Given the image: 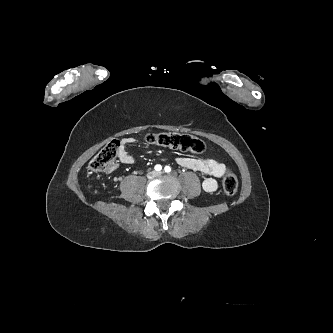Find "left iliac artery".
<instances>
[{
	"label": "left iliac artery",
	"instance_id": "left-iliac-artery-1",
	"mask_svg": "<svg viewBox=\"0 0 333 333\" xmlns=\"http://www.w3.org/2000/svg\"><path fill=\"white\" fill-rule=\"evenodd\" d=\"M164 171L166 173H169L171 171V167L170 166H165Z\"/></svg>",
	"mask_w": 333,
	"mask_h": 333
}]
</instances>
